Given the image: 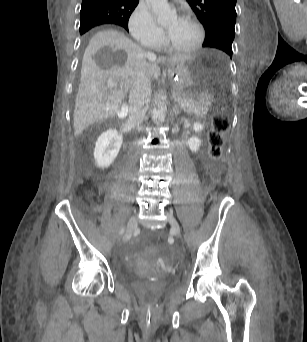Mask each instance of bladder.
Wrapping results in <instances>:
<instances>
[{
  "label": "bladder",
  "instance_id": "1",
  "mask_svg": "<svg viewBox=\"0 0 307 342\" xmlns=\"http://www.w3.org/2000/svg\"><path fill=\"white\" fill-rule=\"evenodd\" d=\"M121 280L123 283L130 286L133 290L137 292H144L150 288V279L149 276L134 267H127L123 270L121 274ZM172 282H161L158 284V291L162 292L166 290Z\"/></svg>",
  "mask_w": 307,
  "mask_h": 342
}]
</instances>
